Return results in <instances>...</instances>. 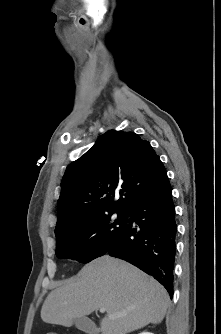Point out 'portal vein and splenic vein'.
Returning a JSON list of instances; mask_svg holds the SVG:
<instances>
[{"label": "portal vein and splenic vein", "mask_w": 221, "mask_h": 334, "mask_svg": "<svg viewBox=\"0 0 221 334\" xmlns=\"http://www.w3.org/2000/svg\"><path fill=\"white\" fill-rule=\"evenodd\" d=\"M101 313H104L105 312V308H100L99 310Z\"/></svg>", "instance_id": "portal-vein-and-splenic-vein-1"}]
</instances>
